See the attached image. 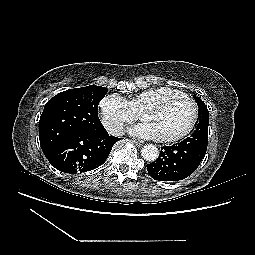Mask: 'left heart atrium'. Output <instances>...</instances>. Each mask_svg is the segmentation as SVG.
<instances>
[{"label": "left heart atrium", "mask_w": 255, "mask_h": 255, "mask_svg": "<svg viewBox=\"0 0 255 255\" xmlns=\"http://www.w3.org/2000/svg\"><path fill=\"white\" fill-rule=\"evenodd\" d=\"M130 132L138 137L153 139L157 137L153 125L149 122L143 121L130 129Z\"/></svg>", "instance_id": "1"}]
</instances>
